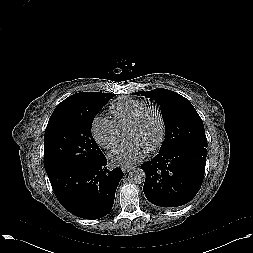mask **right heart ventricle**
Wrapping results in <instances>:
<instances>
[{
    "mask_svg": "<svg viewBox=\"0 0 253 253\" xmlns=\"http://www.w3.org/2000/svg\"><path fill=\"white\" fill-rule=\"evenodd\" d=\"M146 104L144 101L130 97H121L115 100L109 112L117 128L126 126L128 122L140 111Z\"/></svg>",
    "mask_w": 253,
    "mask_h": 253,
    "instance_id": "obj_1",
    "label": "right heart ventricle"
}]
</instances>
